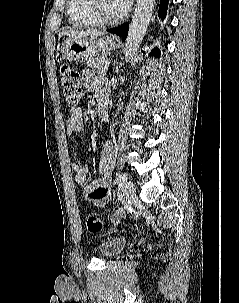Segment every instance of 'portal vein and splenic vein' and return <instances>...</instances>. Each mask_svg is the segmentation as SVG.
Here are the masks:
<instances>
[{
    "label": "portal vein and splenic vein",
    "mask_w": 239,
    "mask_h": 303,
    "mask_svg": "<svg viewBox=\"0 0 239 303\" xmlns=\"http://www.w3.org/2000/svg\"><path fill=\"white\" fill-rule=\"evenodd\" d=\"M109 65H110V62H109V61H105V63H104V67H105V68H108V67H109Z\"/></svg>",
    "instance_id": "1"
}]
</instances>
